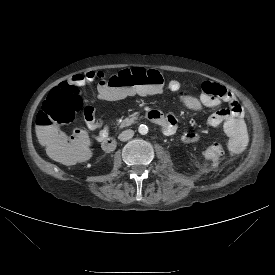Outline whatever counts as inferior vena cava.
<instances>
[{
    "instance_id": "1",
    "label": "inferior vena cava",
    "mask_w": 275,
    "mask_h": 275,
    "mask_svg": "<svg viewBox=\"0 0 275 275\" xmlns=\"http://www.w3.org/2000/svg\"><path fill=\"white\" fill-rule=\"evenodd\" d=\"M134 136V131L131 129H127L125 131H123L120 135H119V140L120 141H128L129 139H131Z\"/></svg>"
}]
</instances>
